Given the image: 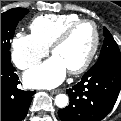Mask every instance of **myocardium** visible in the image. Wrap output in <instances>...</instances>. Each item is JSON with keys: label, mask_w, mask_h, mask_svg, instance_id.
Wrapping results in <instances>:
<instances>
[{"label": "myocardium", "mask_w": 121, "mask_h": 121, "mask_svg": "<svg viewBox=\"0 0 121 121\" xmlns=\"http://www.w3.org/2000/svg\"><path fill=\"white\" fill-rule=\"evenodd\" d=\"M83 24H89L92 26L94 41L85 60L78 67L68 71L72 75H77L84 72L90 66L95 55L97 54L100 45V31L97 24L91 19H79L67 26L51 45V52L54 54L55 50L63 45L70 38L73 32Z\"/></svg>", "instance_id": "obj_1"}]
</instances>
